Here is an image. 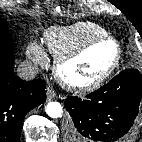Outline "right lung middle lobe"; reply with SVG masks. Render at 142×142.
Instances as JSON below:
<instances>
[{"instance_id": "dd1d6c3e", "label": "right lung middle lobe", "mask_w": 142, "mask_h": 142, "mask_svg": "<svg viewBox=\"0 0 142 142\" xmlns=\"http://www.w3.org/2000/svg\"><path fill=\"white\" fill-rule=\"evenodd\" d=\"M14 44L12 42L7 21L0 16V51L12 52Z\"/></svg>"}]
</instances>
